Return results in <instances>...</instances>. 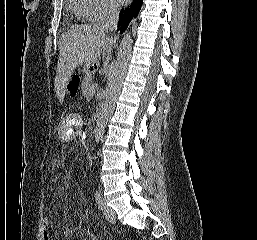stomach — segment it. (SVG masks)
<instances>
[{"label":"stomach","mask_w":257,"mask_h":240,"mask_svg":"<svg viewBox=\"0 0 257 240\" xmlns=\"http://www.w3.org/2000/svg\"><path fill=\"white\" fill-rule=\"evenodd\" d=\"M89 69H90V67H87V66L84 67L85 72H90Z\"/></svg>","instance_id":"0dacf381"}]
</instances>
